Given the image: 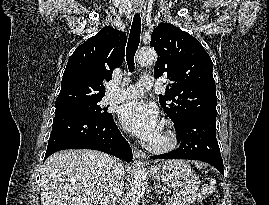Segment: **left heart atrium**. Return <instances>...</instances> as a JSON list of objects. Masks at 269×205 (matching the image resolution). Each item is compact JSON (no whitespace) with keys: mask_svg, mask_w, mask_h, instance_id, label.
I'll use <instances>...</instances> for the list:
<instances>
[{"mask_svg":"<svg viewBox=\"0 0 269 205\" xmlns=\"http://www.w3.org/2000/svg\"><path fill=\"white\" fill-rule=\"evenodd\" d=\"M122 126L146 142H154L162 130L157 108L143 101L124 104L119 110Z\"/></svg>","mask_w":269,"mask_h":205,"instance_id":"1","label":"left heart atrium"}]
</instances>
